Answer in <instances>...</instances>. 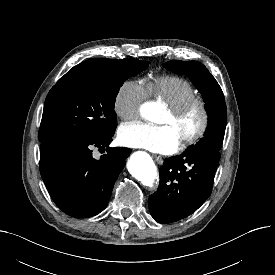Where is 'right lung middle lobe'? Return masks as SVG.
Segmentation results:
<instances>
[{"instance_id": "obj_1", "label": "right lung middle lobe", "mask_w": 275, "mask_h": 275, "mask_svg": "<svg viewBox=\"0 0 275 275\" xmlns=\"http://www.w3.org/2000/svg\"><path fill=\"white\" fill-rule=\"evenodd\" d=\"M148 64L135 59H111L106 64L85 61L74 66L46 97L38 134L41 144L113 135L119 89Z\"/></svg>"}]
</instances>
